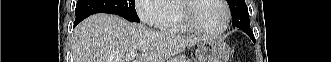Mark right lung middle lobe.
Wrapping results in <instances>:
<instances>
[{
  "label": "right lung middle lobe",
  "mask_w": 331,
  "mask_h": 62,
  "mask_svg": "<svg viewBox=\"0 0 331 62\" xmlns=\"http://www.w3.org/2000/svg\"><path fill=\"white\" fill-rule=\"evenodd\" d=\"M95 13L117 14L129 21L140 22L135 10V0H78L75 21L79 23Z\"/></svg>",
  "instance_id": "dd1d6c3e"
}]
</instances>
